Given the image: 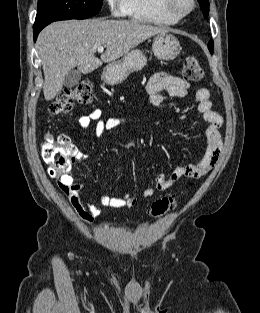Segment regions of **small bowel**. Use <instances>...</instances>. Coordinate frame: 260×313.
<instances>
[{
    "label": "small bowel",
    "mask_w": 260,
    "mask_h": 313,
    "mask_svg": "<svg viewBox=\"0 0 260 313\" xmlns=\"http://www.w3.org/2000/svg\"><path fill=\"white\" fill-rule=\"evenodd\" d=\"M189 87V83L181 77L165 73L156 74L148 80L146 85L149 104L152 108L157 109L167 97H185L188 94ZM195 97L198 102V110L207 123V148L202 159L197 164L177 166L169 176L163 173L158 174L155 186L144 189L142 193L144 198L152 197L156 191L163 192L168 190L182 177L202 178L216 166L224 145L220 132L223 120L212 109L208 89L204 87L198 88ZM92 122H96V133L101 136L104 132L113 130L127 122V119L118 117L102 119V111L98 108L92 109L78 118V125L82 129H87ZM82 157V154L78 153L76 160ZM58 185L79 218L85 223H91L99 217L102 214V207L112 209L131 208L138 201L137 198L126 194L122 197H101L99 205L90 202L84 203L79 194L81 185L75 181L71 172L62 176Z\"/></svg>",
    "instance_id": "1"
}]
</instances>
